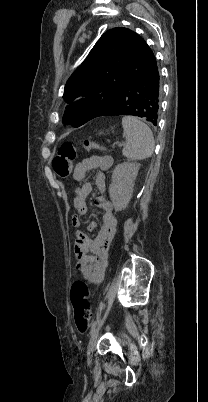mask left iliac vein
<instances>
[{
	"instance_id": "obj_1",
	"label": "left iliac vein",
	"mask_w": 208,
	"mask_h": 402,
	"mask_svg": "<svg viewBox=\"0 0 208 402\" xmlns=\"http://www.w3.org/2000/svg\"><path fill=\"white\" fill-rule=\"evenodd\" d=\"M98 334H99V325L95 328V330L93 331L89 344H88V350H87V359L88 362H91L92 359V355L96 346V342H97V338H98Z\"/></svg>"
}]
</instances>
